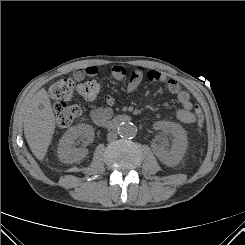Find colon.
Wrapping results in <instances>:
<instances>
[{
  "label": "colon",
  "mask_w": 245,
  "mask_h": 245,
  "mask_svg": "<svg viewBox=\"0 0 245 245\" xmlns=\"http://www.w3.org/2000/svg\"><path fill=\"white\" fill-rule=\"evenodd\" d=\"M101 86L97 80H87L77 87L72 78H62L54 83L50 89V95L55 99L54 112L59 127H67L81 115V108L78 105H71L68 100L72 98L75 91L85 100H93L100 93ZM195 116L199 126H203L204 119L201 109L195 107Z\"/></svg>",
  "instance_id": "1"
}]
</instances>
